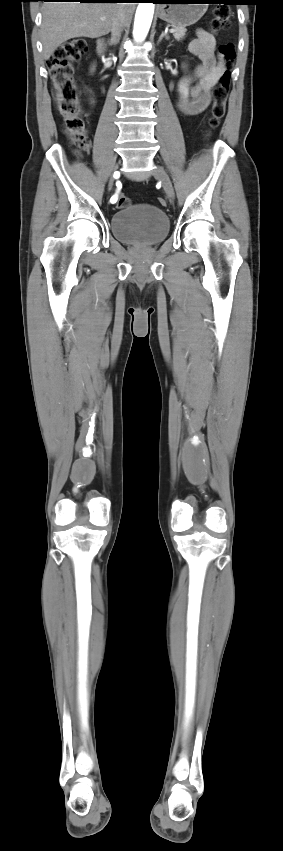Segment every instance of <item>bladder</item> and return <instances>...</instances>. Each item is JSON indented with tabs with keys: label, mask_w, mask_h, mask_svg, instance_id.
I'll return each mask as SVG.
<instances>
[{
	"label": "bladder",
	"mask_w": 283,
	"mask_h": 851,
	"mask_svg": "<svg viewBox=\"0 0 283 851\" xmlns=\"http://www.w3.org/2000/svg\"><path fill=\"white\" fill-rule=\"evenodd\" d=\"M170 229L166 213L151 204L129 205L111 217V232L123 242L135 245H152L162 241Z\"/></svg>",
	"instance_id": "1"
}]
</instances>
